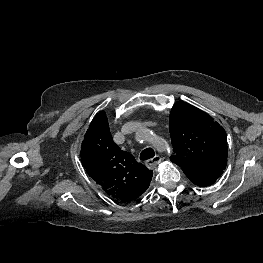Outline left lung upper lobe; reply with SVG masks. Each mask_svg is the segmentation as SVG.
<instances>
[{
    "mask_svg": "<svg viewBox=\"0 0 263 263\" xmlns=\"http://www.w3.org/2000/svg\"><path fill=\"white\" fill-rule=\"evenodd\" d=\"M169 129L175 152L170 159L184 173H223L227 136L212 117L186 102H177L170 113Z\"/></svg>",
    "mask_w": 263,
    "mask_h": 263,
    "instance_id": "5c2ea615",
    "label": "left lung upper lobe"
}]
</instances>
